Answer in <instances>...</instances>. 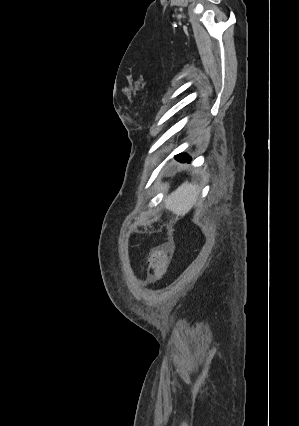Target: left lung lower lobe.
<instances>
[{
    "label": "left lung lower lobe",
    "instance_id": "0a47b994",
    "mask_svg": "<svg viewBox=\"0 0 299 426\" xmlns=\"http://www.w3.org/2000/svg\"><path fill=\"white\" fill-rule=\"evenodd\" d=\"M175 159L181 162H190L191 157L187 154H178L177 156H175Z\"/></svg>",
    "mask_w": 299,
    "mask_h": 426
}]
</instances>
